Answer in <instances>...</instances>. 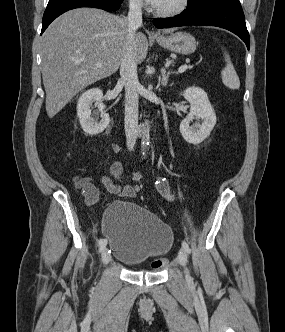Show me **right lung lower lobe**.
I'll return each instance as SVG.
<instances>
[{
	"label": "right lung lower lobe",
	"instance_id": "1",
	"mask_svg": "<svg viewBox=\"0 0 285 332\" xmlns=\"http://www.w3.org/2000/svg\"><path fill=\"white\" fill-rule=\"evenodd\" d=\"M123 0H49L43 15L41 34L48 25L62 13L79 7H94L106 11H116Z\"/></svg>",
	"mask_w": 285,
	"mask_h": 332
}]
</instances>
